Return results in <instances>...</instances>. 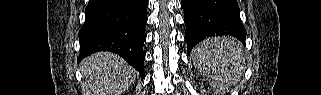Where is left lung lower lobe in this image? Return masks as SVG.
<instances>
[{
    "mask_svg": "<svg viewBox=\"0 0 321 95\" xmlns=\"http://www.w3.org/2000/svg\"><path fill=\"white\" fill-rule=\"evenodd\" d=\"M185 40L188 53L203 39L211 36L229 35L245 41L244 29L236 0H182Z\"/></svg>",
    "mask_w": 321,
    "mask_h": 95,
    "instance_id": "left-lung-lower-lobe-1",
    "label": "left lung lower lobe"
}]
</instances>
